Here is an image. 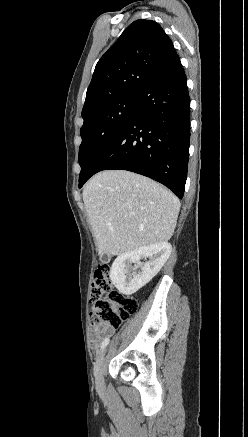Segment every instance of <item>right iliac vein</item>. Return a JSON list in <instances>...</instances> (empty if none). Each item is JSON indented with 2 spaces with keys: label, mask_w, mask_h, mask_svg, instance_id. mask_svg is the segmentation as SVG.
Instances as JSON below:
<instances>
[{
  "label": "right iliac vein",
  "mask_w": 248,
  "mask_h": 437,
  "mask_svg": "<svg viewBox=\"0 0 248 437\" xmlns=\"http://www.w3.org/2000/svg\"><path fill=\"white\" fill-rule=\"evenodd\" d=\"M106 350H103L97 360L94 367V375L97 387L101 388L103 386L104 378H103V367H104V358H105Z\"/></svg>",
  "instance_id": "right-iliac-vein-1"
}]
</instances>
